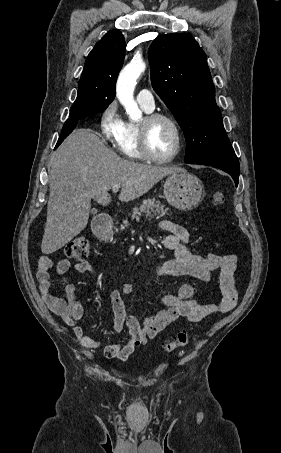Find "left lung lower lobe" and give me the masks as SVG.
<instances>
[{
	"instance_id": "0a47b994",
	"label": "left lung lower lobe",
	"mask_w": 281,
	"mask_h": 453,
	"mask_svg": "<svg viewBox=\"0 0 281 453\" xmlns=\"http://www.w3.org/2000/svg\"><path fill=\"white\" fill-rule=\"evenodd\" d=\"M185 163L217 167V168L227 172L228 174H230L231 177L234 179L236 186L238 185L240 167H239L238 158L236 157L235 154L228 155V156H218V157L206 158V159L196 160V161H192V162H185Z\"/></svg>"
}]
</instances>
